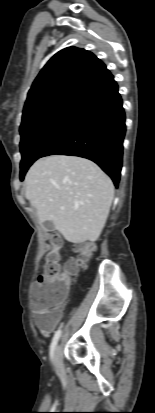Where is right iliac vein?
<instances>
[{
	"mask_svg": "<svg viewBox=\"0 0 155 413\" xmlns=\"http://www.w3.org/2000/svg\"><path fill=\"white\" fill-rule=\"evenodd\" d=\"M53 359H54V365H55L56 370L62 371L63 369L62 350L59 344L54 349Z\"/></svg>",
	"mask_w": 155,
	"mask_h": 413,
	"instance_id": "right-iliac-vein-1",
	"label": "right iliac vein"
}]
</instances>
